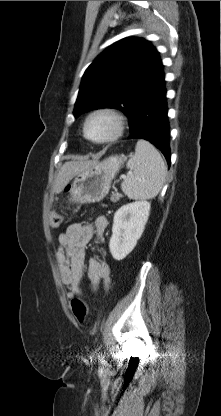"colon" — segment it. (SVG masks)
<instances>
[{"mask_svg":"<svg viewBox=\"0 0 221 416\" xmlns=\"http://www.w3.org/2000/svg\"><path fill=\"white\" fill-rule=\"evenodd\" d=\"M64 222V216L61 213H52L50 216V225L52 227H59ZM71 308L74 317L80 323H84L87 318L88 307L85 300L81 298H75L71 301Z\"/></svg>","mask_w":221,"mask_h":416,"instance_id":"5ec220e1","label":"colon"}]
</instances>
